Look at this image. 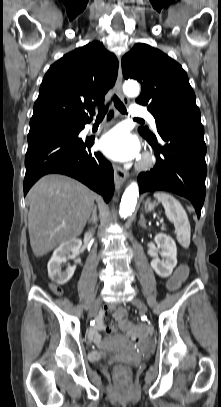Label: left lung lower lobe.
Returning a JSON list of instances; mask_svg holds the SVG:
<instances>
[{
	"instance_id": "left-lung-lower-lobe-1",
	"label": "left lung lower lobe",
	"mask_w": 221,
	"mask_h": 407,
	"mask_svg": "<svg viewBox=\"0 0 221 407\" xmlns=\"http://www.w3.org/2000/svg\"><path fill=\"white\" fill-rule=\"evenodd\" d=\"M159 139L143 137L155 151V167L138 176L140 193L172 191L188 198L198 217L205 199L207 174L204 128L200 119L178 117L157 126Z\"/></svg>"
}]
</instances>
